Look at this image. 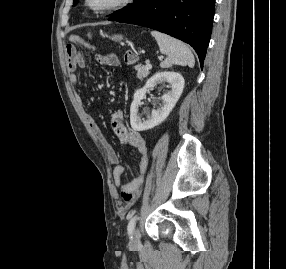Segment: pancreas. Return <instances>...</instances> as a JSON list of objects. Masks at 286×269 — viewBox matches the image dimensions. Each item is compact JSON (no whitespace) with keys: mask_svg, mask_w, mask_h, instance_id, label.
<instances>
[{"mask_svg":"<svg viewBox=\"0 0 286 269\" xmlns=\"http://www.w3.org/2000/svg\"><path fill=\"white\" fill-rule=\"evenodd\" d=\"M135 69L137 70V78L139 80H143V78H145L149 75V69H147L146 66L136 65Z\"/></svg>","mask_w":286,"mask_h":269,"instance_id":"1","label":"pancreas"}]
</instances>
